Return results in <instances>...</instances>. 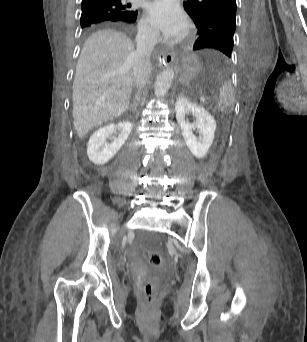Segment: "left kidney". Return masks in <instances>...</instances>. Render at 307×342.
Returning a JSON list of instances; mask_svg holds the SVG:
<instances>
[{"label":"left kidney","instance_id":"left-kidney-1","mask_svg":"<svg viewBox=\"0 0 307 342\" xmlns=\"http://www.w3.org/2000/svg\"><path fill=\"white\" fill-rule=\"evenodd\" d=\"M175 112H176V120L181 126L182 136L184 138V142L186 146H188L191 154L201 160V158H205L210 146L213 144L214 134L216 130V120H214L213 116L205 110V108H201L198 104H193L187 98H177V102L175 104ZM193 116L195 122L190 124L188 122L186 116ZM194 128H198L199 138L194 136L192 130Z\"/></svg>","mask_w":307,"mask_h":342}]
</instances>
